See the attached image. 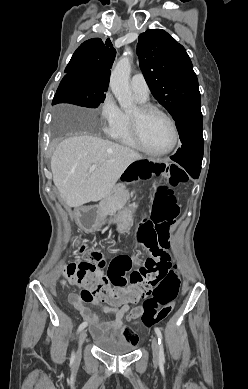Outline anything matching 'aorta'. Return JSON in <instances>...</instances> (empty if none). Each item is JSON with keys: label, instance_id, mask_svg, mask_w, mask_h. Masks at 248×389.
I'll return each mask as SVG.
<instances>
[{"label": "aorta", "instance_id": "obj_1", "mask_svg": "<svg viewBox=\"0 0 248 389\" xmlns=\"http://www.w3.org/2000/svg\"><path fill=\"white\" fill-rule=\"evenodd\" d=\"M132 56V52L127 50L117 62L110 77V88L118 100L120 107L125 111L135 106L134 97L129 85Z\"/></svg>", "mask_w": 248, "mask_h": 389}]
</instances>
